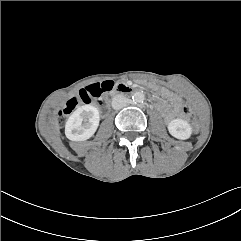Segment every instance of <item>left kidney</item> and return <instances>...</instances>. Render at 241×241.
I'll return each mask as SVG.
<instances>
[{
  "instance_id": "left-kidney-1",
  "label": "left kidney",
  "mask_w": 241,
  "mask_h": 241,
  "mask_svg": "<svg viewBox=\"0 0 241 241\" xmlns=\"http://www.w3.org/2000/svg\"><path fill=\"white\" fill-rule=\"evenodd\" d=\"M168 131L173 137L186 140L190 138L193 130L187 121L183 119H174L168 124Z\"/></svg>"
}]
</instances>
